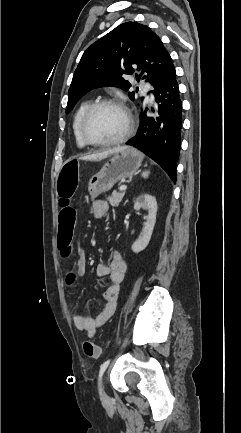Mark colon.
Segmentation results:
<instances>
[{
  "label": "colon",
  "instance_id": "1",
  "mask_svg": "<svg viewBox=\"0 0 241 433\" xmlns=\"http://www.w3.org/2000/svg\"><path fill=\"white\" fill-rule=\"evenodd\" d=\"M81 160L79 157H65L62 167L58 170L56 189L57 200L60 201L59 215L56 223L59 229L58 248L61 256L68 259L71 254V245L75 240L77 219L80 213L79 207H69L74 200L75 186L78 184ZM83 350L88 358L97 359L102 353L99 345L91 341H85Z\"/></svg>",
  "mask_w": 241,
  "mask_h": 433
}]
</instances>
